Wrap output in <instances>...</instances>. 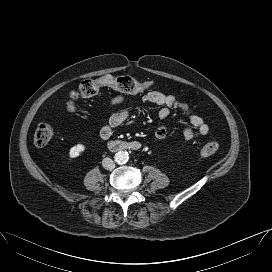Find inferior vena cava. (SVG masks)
<instances>
[{
    "label": "inferior vena cava",
    "instance_id": "1",
    "mask_svg": "<svg viewBox=\"0 0 272 272\" xmlns=\"http://www.w3.org/2000/svg\"><path fill=\"white\" fill-rule=\"evenodd\" d=\"M102 166L105 169L112 170L115 168V163L111 158L106 157L102 160Z\"/></svg>",
    "mask_w": 272,
    "mask_h": 272
}]
</instances>
